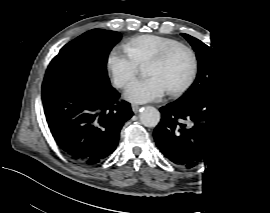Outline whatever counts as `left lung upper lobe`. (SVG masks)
<instances>
[{"mask_svg": "<svg viewBox=\"0 0 270 213\" xmlns=\"http://www.w3.org/2000/svg\"><path fill=\"white\" fill-rule=\"evenodd\" d=\"M182 36L196 52L198 75L191 88L180 99L198 100L229 87L231 74L224 60L200 40L188 34Z\"/></svg>", "mask_w": 270, "mask_h": 213, "instance_id": "1", "label": "left lung upper lobe"}]
</instances>
